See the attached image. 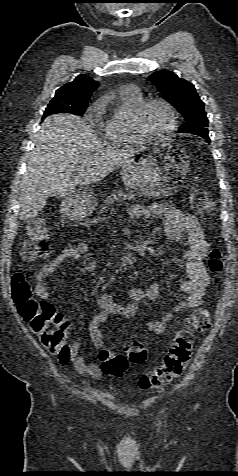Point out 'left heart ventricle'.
<instances>
[{
	"label": "left heart ventricle",
	"instance_id": "1",
	"mask_svg": "<svg viewBox=\"0 0 238 476\" xmlns=\"http://www.w3.org/2000/svg\"><path fill=\"white\" fill-rule=\"evenodd\" d=\"M143 129L150 135H159L170 124V115L161 104H152L144 112L141 120Z\"/></svg>",
	"mask_w": 238,
	"mask_h": 476
}]
</instances>
